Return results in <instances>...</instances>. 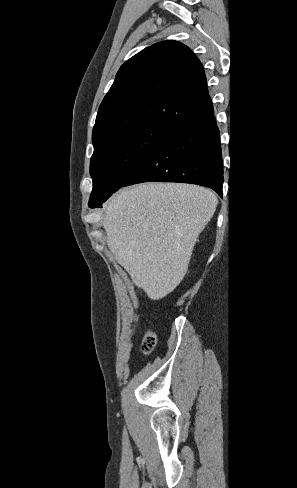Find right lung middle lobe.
Segmentation results:
<instances>
[{
	"instance_id": "right-lung-middle-lobe-1",
	"label": "right lung middle lobe",
	"mask_w": 297,
	"mask_h": 488,
	"mask_svg": "<svg viewBox=\"0 0 297 488\" xmlns=\"http://www.w3.org/2000/svg\"><path fill=\"white\" fill-rule=\"evenodd\" d=\"M170 129L159 125L135 126L94 145L90 161L93 190L89 207L102 205L122 187Z\"/></svg>"
}]
</instances>
